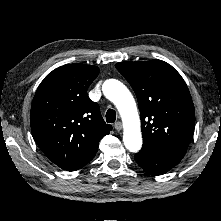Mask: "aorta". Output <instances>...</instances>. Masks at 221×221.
Instances as JSON below:
<instances>
[{"label": "aorta", "instance_id": "obj_1", "mask_svg": "<svg viewBox=\"0 0 221 221\" xmlns=\"http://www.w3.org/2000/svg\"><path fill=\"white\" fill-rule=\"evenodd\" d=\"M102 90L107 99L115 104L124 124L123 142L131 152L142 147L140 119L135 100L128 88L118 80H106Z\"/></svg>", "mask_w": 221, "mask_h": 221}]
</instances>
